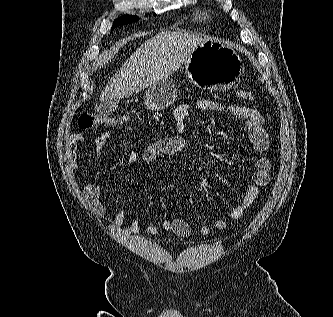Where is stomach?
<instances>
[{"label": "stomach", "mask_w": 333, "mask_h": 317, "mask_svg": "<svg viewBox=\"0 0 333 317\" xmlns=\"http://www.w3.org/2000/svg\"><path fill=\"white\" fill-rule=\"evenodd\" d=\"M243 69L242 59L236 50L213 39L197 46L185 62L190 82L203 90L223 91L235 86ZM176 94L174 82L166 78L147 88L144 102L148 109L160 111L173 103Z\"/></svg>", "instance_id": "0dacf381"}]
</instances>
